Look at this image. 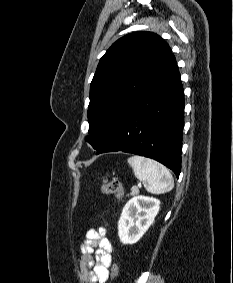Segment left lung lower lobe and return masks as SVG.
<instances>
[{
  "instance_id": "obj_1",
  "label": "left lung lower lobe",
  "mask_w": 233,
  "mask_h": 283,
  "mask_svg": "<svg viewBox=\"0 0 233 283\" xmlns=\"http://www.w3.org/2000/svg\"><path fill=\"white\" fill-rule=\"evenodd\" d=\"M184 91L171 53L155 70L132 109L97 154L123 151L181 171Z\"/></svg>"
}]
</instances>
